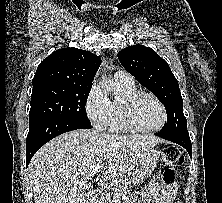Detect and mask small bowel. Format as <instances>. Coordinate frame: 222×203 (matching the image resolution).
<instances>
[{
  "mask_svg": "<svg viewBox=\"0 0 222 203\" xmlns=\"http://www.w3.org/2000/svg\"><path fill=\"white\" fill-rule=\"evenodd\" d=\"M177 185L165 183L159 178L153 179L146 187L138 192V198L145 203H173ZM136 201L135 203H140Z\"/></svg>",
  "mask_w": 222,
  "mask_h": 203,
  "instance_id": "c3829d8e",
  "label": "small bowel"
}]
</instances>
